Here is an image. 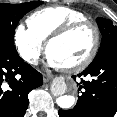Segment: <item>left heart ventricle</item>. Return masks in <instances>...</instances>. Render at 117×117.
I'll return each instance as SVG.
<instances>
[{
	"label": "left heart ventricle",
	"instance_id": "obj_1",
	"mask_svg": "<svg viewBox=\"0 0 117 117\" xmlns=\"http://www.w3.org/2000/svg\"><path fill=\"white\" fill-rule=\"evenodd\" d=\"M94 34L90 28L80 29L71 35L54 42L49 49V56L65 67L82 61L90 52Z\"/></svg>",
	"mask_w": 117,
	"mask_h": 117
}]
</instances>
